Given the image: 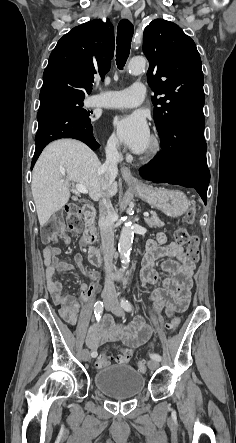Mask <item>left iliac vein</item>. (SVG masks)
<instances>
[{"label":"left iliac vein","instance_id":"left-iliac-vein-1","mask_svg":"<svg viewBox=\"0 0 236 443\" xmlns=\"http://www.w3.org/2000/svg\"><path fill=\"white\" fill-rule=\"evenodd\" d=\"M110 310L116 316L124 315L123 309L121 308L120 305H113V307ZM148 367L151 370H156L159 367V362L152 359L148 362Z\"/></svg>","mask_w":236,"mask_h":443}]
</instances>
